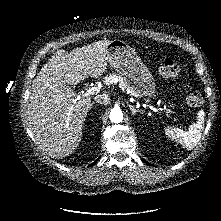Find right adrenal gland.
Wrapping results in <instances>:
<instances>
[{"mask_svg":"<svg viewBox=\"0 0 221 221\" xmlns=\"http://www.w3.org/2000/svg\"><path fill=\"white\" fill-rule=\"evenodd\" d=\"M92 106H94V103H91V104H90V108H89L90 110H91Z\"/></svg>","mask_w":221,"mask_h":221,"instance_id":"obj_1","label":"right adrenal gland"}]
</instances>
